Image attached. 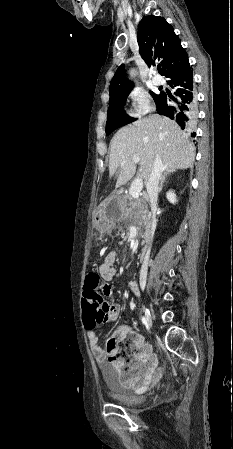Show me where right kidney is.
Masks as SVG:
<instances>
[{
	"label": "right kidney",
	"instance_id": "obj_1",
	"mask_svg": "<svg viewBox=\"0 0 233 449\" xmlns=\"http://www.w3.org/2000/svg\"><path fill=\"white\" fill-rule=\"evenodd\" d=\"M166 198H167L168 201H169L170 203H172V204H175V203L177 202L176 195H175V193H174L172 190H169V191L166 193Z\"/></svg>",
	"mask_w": 233,
	"mask_h": 449
}]
</instances>
